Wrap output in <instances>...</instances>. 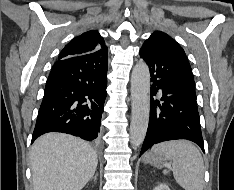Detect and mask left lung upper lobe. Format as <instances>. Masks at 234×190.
<instances>
[{"mask_svg":"<svg viewBox=\"0 0 234 190\" xmlns=\"http://www.w3.org/2000/svg\"><path fill=\"white\" fill-rule=\"evenodd\" d=\"M161 41L169 42L173 50V74L178 85L190 96L197 98L195 93L194 77L187 56L182 47L169 35L155 31L143 44V47L155 48Z\"/></svg>","mask_w":234,"mask_h":190,"instance_id":"obj_1","label":"left lung upper lobe"}]
</instances>
